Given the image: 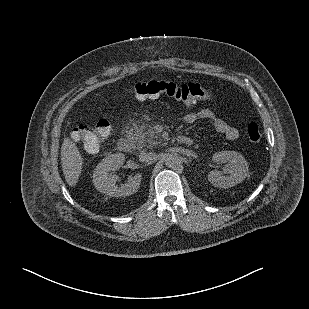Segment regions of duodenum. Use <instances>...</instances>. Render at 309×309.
Returning <instances> with one entry per match:
<instances>
[{
	"label": "duodenum",
	"instance_id": "obj_1",
	"mask_svg": "<svg viewBox=\"0 0 309 309\" xmlns=\"http://www.w3.org/2000/svg\"><path fill=\"white\" fill-rule=\"evenodd\" d=\"M177 140L179 143L184 145L192 144V139L187 136H179ZM117 148L122 152L128 153L132 150V144L127 138H120L117 142Z\"/></svg>",
	"mask_w": 309,
	"mask_h": 309
}]
</instances>
